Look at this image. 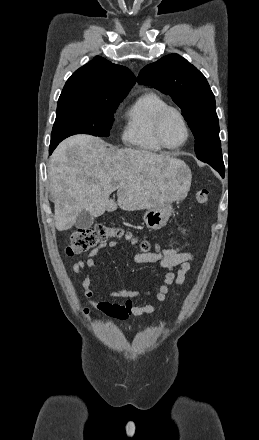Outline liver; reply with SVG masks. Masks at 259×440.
I'll list each match as a JSON object with an SVG mask.
<instances>
[{
    "label": "liver",
    "mask_w": 259,
    "mask_h": 440,
    "mask_svg": "<svg viewBox=\"0 0 259 440\" xmlns=\"http://www.w3.org/2000/svg\"><path fill=\"white\" fill-rule=\"evenodd\" d=\"M48 177L55 227L65 231L82 210L98 217L118 206L134 211L179 200L191 175L184 162L168 155L108 148L98 137L75 135L54 151ZM115 190L117 202L110 199Z\"/></svg>",
    "instance_id": "obj_1"
}]
</instances>
